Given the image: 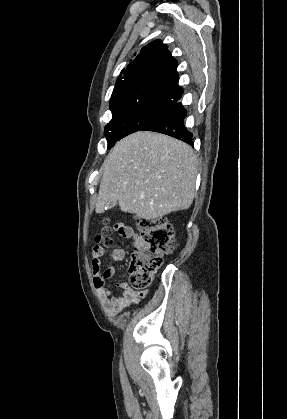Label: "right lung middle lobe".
Returning <instances> with one entry per match:
<instances>
[{
    "label": "right lung middle lobe",
    "instance_id": "obj_1",
    "mask_svg": "<svg viewBox=\"0 0 287 419\" xmlns=\"http://www.w3.org/2000/svg\"><path fill=\"white\" fill-rule=\"evenodd\" d=\"M168 108L164 105H138L112 113V120L104 130L108 148L113 147L123 137L139 131Z\"/></svg>",
    "mask_w": 287,
    "mask_h": 419
}]
</instances>
